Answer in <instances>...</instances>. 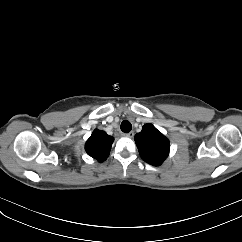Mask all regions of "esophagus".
I'll return each instance as SVG.
<instances>
[{"mask_svg":"<svg viewBox=\"0 0 242 242\" xmlns=\"http://www.w3.org/2000/svg\"><path fill=\"white\" fill-rule=\"evenodd\" d=\"M124 136L128 137V138H132L134 136V131H130L127 134H124Z\"/></svg>","mask_w":242,"mask_h":242,"instance_id":"34e87169","label":"esophagus"}]
</instances>
